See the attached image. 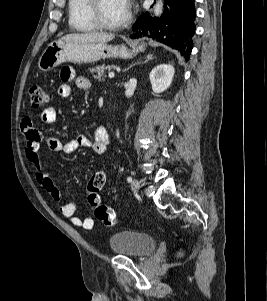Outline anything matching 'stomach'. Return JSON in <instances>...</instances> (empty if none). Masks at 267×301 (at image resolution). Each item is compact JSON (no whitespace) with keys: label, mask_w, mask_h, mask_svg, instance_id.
Here are the masks:
<instances>
[{"label":"stomach","mask_w":267,"mask_h":301,"mask_svg":"<svg viewBox=\"0 0 267 301\" xmlns=\"http://www.w3.org/2000/svg\"><path fill=\"white\" fill-rule=\"evenodd\" d=\"M143 44L134 43L132 49L124 45H108L104 42L74 43L58 40L50 43L38 61L41 71L47 72L64 62L92 63L106 58H131L143 52Z\"/></svg>","instance_id":"0dacf381"}]
</instances>
